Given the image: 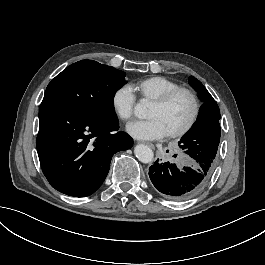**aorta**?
I'll use <instances>...</instances> for the list:
<instances>
[{"label": "aorta", "instance_id": "1", "mask_svg": "<svg viewBox=\"0 0 265 265\" xmlns=\"http://www.w3.org/2000/svg\"><path fill=\"white\" fill-rule=\"evenodd\" d=\"M134 114L140 119L147 118L146 103H138L134 108ZM134 154L142 163H150L153 160L154 153L147 145L139 144L134 148Z\"/></svg>", "mask_w": 265, "mask_h": 265}]
</instances>
